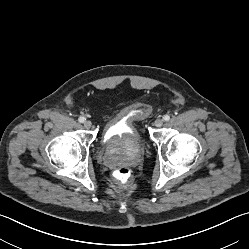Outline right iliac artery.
I'll use <instances>...</instances> for the list:
<instances>
[{"label":"right iliac artery","mask_w":249,"mask_h":249,"mask_svg":"<svg viewBox=\"0 0 249 249\" xmlns=\"http://www.w3.org/2000/svg\"><path fill=\"white\" fill-rule=\"evenodd\" d=\"M85 120H86V119H85V117H83V116H80L79 119H78V121H79L80 123H83Z\"/></svg>","instance_id":"right-iliac-artery-1"}]
</instances>
